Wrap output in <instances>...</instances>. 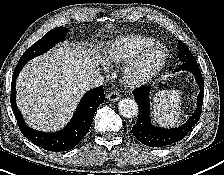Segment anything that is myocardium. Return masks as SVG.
<instances>
[{
    "mask_svg": "<svg viewBox=\"0 0 224 175\" xmlns=\"http://www.w3.org/2000/svg\"><path fill=\"white\" fill-rule=\"evenodd\" d=\"M155 52H159V57L155 62L149 63V57ZM168 57V48L163 43L154 42L148 45L124 65L123 81L131 87L145 84L162 70Z\"/></svg>",
    "mask_w": 224,
    "mask_h": 175,
    "instance_id": "obj_1",
    "label": "myocardium"
}]
</instances>
